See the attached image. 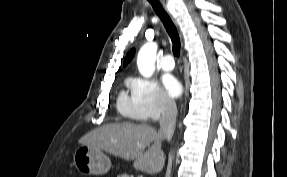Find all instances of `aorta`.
I'll use <instances>...</instances> for the list:
<instances>
[{
  "label": "aorta",
  "mask_w": 287,
  "mask_h": 177,
  "mask_svg": "<svg viewBox=\"0 0 287 177\" xmlns=\"http://www.w3.org/2000/svg\"><path fill=\"white\" fill-rule=\"evenodd\" d=\"M156 52L155 43H147L139 51L137 65L140 73L145 77H150L155 69Z\"/></svg>",
  "instance_id": "1"
}]
</instances>
